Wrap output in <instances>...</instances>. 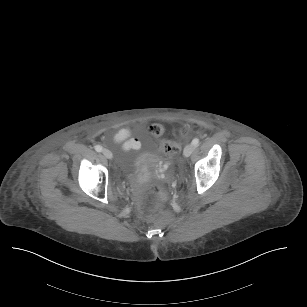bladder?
Listing matches in <instances>:
<instances>
[{
    "label": "bladder",
    "instance_id": "obj_1",
    "mask_svg": "<svg viewBox=\"0 0 307 307\" xmlns=\"http://www.w3.org/2000/svg\"><path fill=\"white\" fill-rule=\"evenodd\" d=\"M148 156L149 153L141 148L130 149L122 158V169L127 173L135 172Z\"/></svg>",
    "mask_w": 307,
    "mask_h": 307
}]
</instances>
